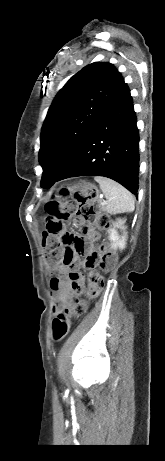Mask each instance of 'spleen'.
I'll use <instances>...</instances> for the list:
<instances>
[{"label": "spleen", "mask_w": 165, "mask_h": 461, "mask_svg": "<svg viewBox=\"0 0 165 461\" xmlns=\"http://www.w3.org/2000/svg\"><path fill=\"white\" fill-rule=\"evenodd\" d=\"M107 199L104 210L110 214L133 212L135 202L133 195L122 185L109 178L97 176L94 178Z\"/></svg>", "instance_id": "3e777b00"}]
</instances>
